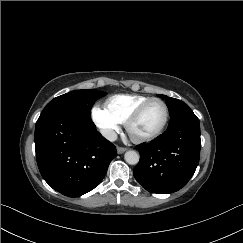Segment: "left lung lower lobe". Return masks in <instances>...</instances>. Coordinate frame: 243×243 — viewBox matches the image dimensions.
<instances>
[{"instance_id": "1", "label": "left lung lower lobe", "mask_w": 243, "mask_h": 243, "mask_svg": "<svg viewBox=\"0 0 243 243\" xmlns=\"http://www.w3.org/2000/svg\"><path fill=\"white\" fill-rule=\"evenodd\" d=\"M201 148L196 115L179 119L150 144L137 147L140 161L133 170L137 182L152 193L178 191L193 176Z\"/></svg>"}]
</instances>
